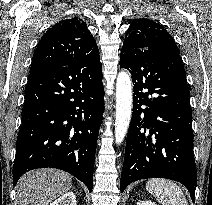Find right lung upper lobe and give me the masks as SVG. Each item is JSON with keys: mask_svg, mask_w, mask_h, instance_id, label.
<instances>
[{"mask_svg": "<svg viewBox=\"0 0 212 205\" xmlns=\"http://www.w3.org/2000/svg\"><path fill=\"white\" fill-rule=\"evenodd\" d=\"M73 64H101L95 39L77 17L62 20L46 31L33 55L30 73Z\"/></svg>", "mask_w": 212, "mask_h": 205, "instance_id": "1", "label": "right lung upper lobe"}]
</instances>
